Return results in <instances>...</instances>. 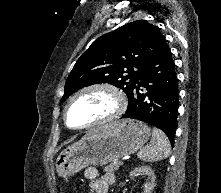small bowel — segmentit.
Listing matches in <instances>:
<instances>
[{
    "label": "small bowel",
    "mask_w": 221,
    "mask_h": 193,
    "mask_svg": "<svg viewBox=\"0 0 221 193\" xmlns=\"http://www.w3.org/2000/svg\"><path fill=\"white\" fill-rule=\"evenodd\" d=\"M83 175L85 179L90 181L94 193H107L109 185H112L115 181L112 173L107 172L100 176L95 167L85 169Z\"/></svg>",
    "instance_id": "c3829d8e"
}]
</instances>
